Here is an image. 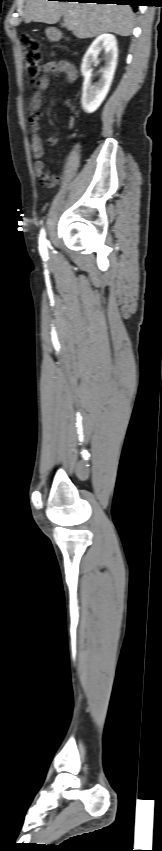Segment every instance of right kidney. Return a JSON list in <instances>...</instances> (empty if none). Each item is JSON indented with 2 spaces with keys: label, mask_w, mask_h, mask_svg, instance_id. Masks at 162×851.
<instances>
[{
  "label": "right kidney",
  "mask_w": 162,
  "mask_h": 851,
  "mask_svg": "<svg viewBox=\"0 0 162 851\" xmlns=\"http://www.w3.org/2000/svg\"><path fill=\"white\" fill-rule=\"evenodd\" d=\"M102 50L105 53V66L101 69L100 80L92 84V67ZM117 57V41L112 34L98 36L85 53L81 64V73L84 77L81 104L86 113L96 111L105 99L114 77Z\"/></svg>",
  "instance_id": "1"
}]
</instances>
